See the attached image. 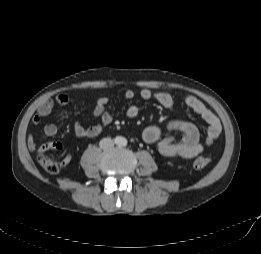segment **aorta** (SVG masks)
<instances>
[{"label": "aorta", "mask_w": 261, "mask_h": 254, "mask_svg": "<svg viewBox=\"0 0 261 254\" xmlns=\"http://www.w3.org/2000/svg\"><path fill=\"white\" fill-rule=\"evenodd\" d=\"M127 140L124 137H118L117 138V144L119 145H126Z\"/></svg>", "instance_id": "762f6f07"}]
</instances>
